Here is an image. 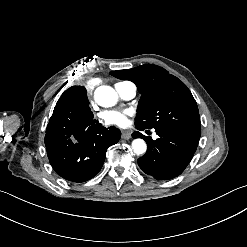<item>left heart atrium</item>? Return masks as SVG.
<instances>
[{
	"mask_svg": "<svg viewBox=\"0 0 247 247\" xmlns=\"http://www.w3.org/2000/svg\"><path fill=\"white\" fill-rule=\"evenodd\" d=\"M131 114V111L126 109H110L103 111L100 118L105 124L124 126L128 123V117Z\"/></svg>",
	"mask_w": 247,
	"mask_h": 247,
	"instance_id": "left-heart-atrium-1",
	"label": "left heart atrium"
}]
</instances>
